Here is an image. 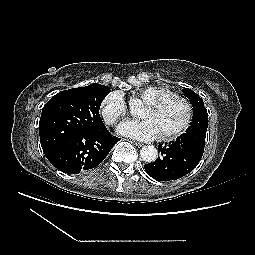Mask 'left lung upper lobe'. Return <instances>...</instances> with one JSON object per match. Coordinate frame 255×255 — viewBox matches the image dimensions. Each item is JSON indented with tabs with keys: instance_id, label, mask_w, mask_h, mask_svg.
I'll use <instances>...</instances> for the list:
<instances>
[{
	"instance_id": "left-lung-upper-lobe-1",
	"label": "left lung upper lobe",
	"mask_w": 255,
	"mask_h": 255,
	"mask_svg": "<svg viewBox=\"0 0 255 255\" xmlns=\"http://www.w3.org/2000/svg\"><path fill=\"white\" fill-rule=\"evenodd\" d=\"M184 95L190 100L193 105V117L191 126L187 129L186 134L197 129H207L208 114L204 106L203 99L198 94L190 89H183Z\"/></svg>"
}]
</instances>
